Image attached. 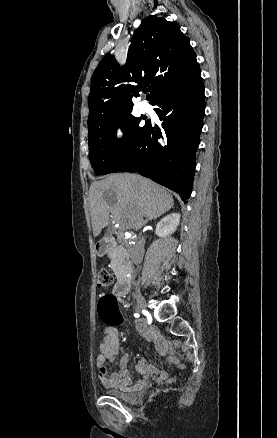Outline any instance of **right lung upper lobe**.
Wrapping results in <instances>:
<instances>
[{"instance_id":"right-lung-upper-lobe-1","label":"right lung upper lobe","mask_w":277,"mask_h":438,"mask_svg":"<svg viewBox=\"0 0 277 438\" xmlns=\"http://www.w3.org/2000/svg\"><path fill=\"white\" fill-rule=\"evenodd\" d=\"M173 62V71L165 68ZM200 70L190 40L176 22L149 16L135 30L124 68L106 55L95 69L89 94L88 126L131 114L133 97L149 86L150 103L165 88Z\"/></svg>"}]
</instances>
